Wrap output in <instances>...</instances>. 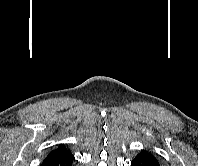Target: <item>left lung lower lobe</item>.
Instances as JSON below:
<instances>
[{
    "label": "left lung lower lobe",
    "mask_w": 198,
    "mask_h": 166,
    "mask_svg": "<svg viewBox=\"0 0 198 166\" xmlns=\"http://www.w3.org/2000/svg\"><path fill=\"white\" fill-rule=\"evenodd\" d=\"M131 166H160L156 158L139 153L132 161Z\"/></svg>",
    "instance_id": "obj_1"
}]
</instances>
